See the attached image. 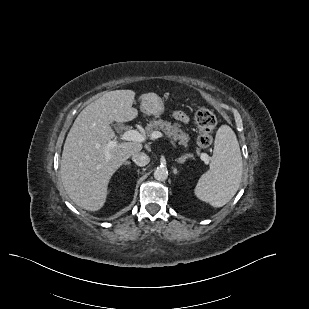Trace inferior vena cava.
Returning <instances> with one entry per match:
<instances>
[{"label":"inferior vena cava","mask_w":309,"mask_h":309,"mask_svg":"<svg viewBox=\"0 0 309 309\" xmlns=\"http://www.w3.org/2000/svg\"><path fill=\"white\" fill-rule=\"evenodd\" d=\"M132 160L136 165L141 167L146 166L150 161L149 156L140 151L132 154Z\"/></svg>","instance_id":"obj_1"}]
</instances>
